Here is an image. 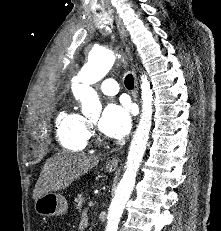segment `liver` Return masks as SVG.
Segmentation results:
<instances>
[{
	"label": "liver",
	"instance_id": "liver-1",
	"mask_svg": "<svg viewBox=\"0 0 221 231\" xmlns=\"http://www.w3.org/2000/svg\"><path fill=\"white\" fill-rule=\"evenodd\" d=\"M99 163V157L61 151L44 164L33 190V199L67 188Z\"/></svg>",
	"mask_w": 221,
	"mask_h": 231
}]
</instances>
